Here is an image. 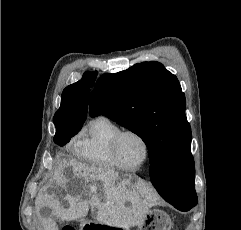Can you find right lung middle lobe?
I'll return each instance as SVG.
<instances>
[{
    "instance_id": "right-lung-middle-lobe-1",
    "label": "right lung middle lobe",
    "mask_w": 241,
    "mask_h": 230,
    "mask_svg": "<svg viewBox=\"0 0 241 230\" xmlns=\"http://www.w3.org/2000/svg\"><path fill=\"white\" fill-rule=\"evenodd\" d=\"M56 126V134L54 136V142L60 146H64L70 141V138L76 135L82 125L73 123H54Z\"/></svg>"
}]
</instances>
